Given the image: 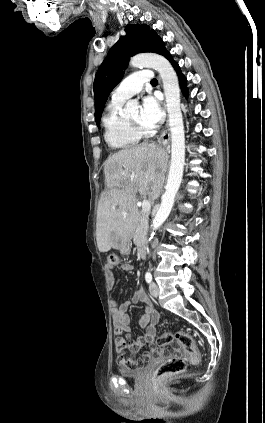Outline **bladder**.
<instances>
[{"mask_svg":"<svg viewBox=\"0 0 265 423\" xmlns=\"http://www.w3.org/2000/svg\"><path fill=\"white\" fill-rule=\"evenodd\" d=\"M146 369H147V366H143L137 369L119 368L118 372L123 377L140 378L144 375Z\"/></svg>","mask_w":265,"mask_h":423,"instance_id":"obj_1","label":"bladder"}]
</instances>
